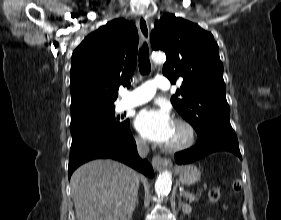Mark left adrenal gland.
I'll return each instance as SVG.
<instances>
[{"label":"left adrenal gland","mask_w":281,"mask_h":220,"mask_svg":"<svg viewBox=\"0 0 281 220\" xmlns=\"http://www.w3.org/2000/svg\"><path fill=\"white\" fill-rule=\"evenodd\" d=\"M181 195H182V194H180V195L178 196V199H179L178 207H179V209L182 208L183 213H188V211H187L188 205L181 201Z\"/></svg>","instance_id":"obj_1"}]
</instances>
